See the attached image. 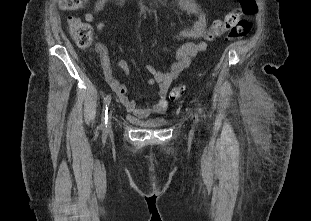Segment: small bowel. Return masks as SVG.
Returning <instances> with one entry per match:
<instances>
[{
    "mask_svg": "<svg viewBox=\"0 0 311 221\" xmlns=\"http://www.w3.org/2000/svg\"><path fill=\"white\" fill-rule=\"evenodd\" d=\"M110 1L111 0H97L93 9L85 14L84 19L89 23L94 22L97 15ZM177 5L186 13L197 16L194 25L191 28L183 30L180 33V37L197 41L187 42L180 46L176 51L175 60L171 63L167 71L162 72L151 64L146 65V70L151 75V78L147 80V84H156L158 86L157 100L152 105L143 108L138 107L136 102L127 96L126 87L111 77L112 68L106 46L102 43L96 45V51L99 55L102 68L108 80H112L110 84L116 93L117 98L125 106L127 111L137 118H146L153 114H163L167 109V95L173 80L190 66L192 59L195 56L207 49V43L202 39L207 28V17L204 11L195 0H178ZM104 27L105 26L102 22H99L96 25L98 31H103ZM118 66L124 74L127 75L129 73V66L125 60H120Z\"/></svg>",
    "mask_w": 311,
    "mask_h": 221,
    "instance_id": "obj_1",
    "label": "small bowel"
}]
</instances>
